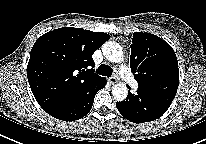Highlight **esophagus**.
I'll list each match as a JSON object with an SVG mask.
<instances>
[{
  "mask_svg": "<svg viewBox=\"0 0 206 144\" xmlns=\"http://www.w3.org/2000/svg\"><path fill=\"white\" fill-rule=\"evenodd\" d=\"M109 82H110L111 84H115V83H117V82H118V78H117V77H115V76L110 77V78H109Z\"/></svg>",
  "mask_w": 206,
  "mask_h": 144,
  "instance_id": "obj_1",
  "label": "esophagus"
}]
</instances>
